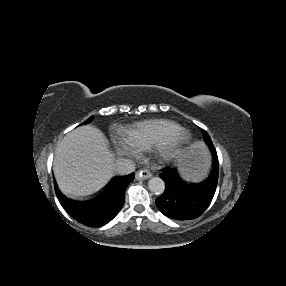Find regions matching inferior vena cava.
Segmentation results:
<instances>
[{"instance_id": "602c4592", "label": "inferior vena cava", "mask_w": 286, "mask_h": 286, "mask_svg": "<svg viewBox=\"0 0 286 286\" xmlns=\"http://www.w3.org/2000/svg\"><path fill=\"white\" fill-rule=\"evenodd\" d=\"M114 172L118 175H127L135 170V163L133 160L118 158L114 163Z\"/></svg>"}]
</instances>
